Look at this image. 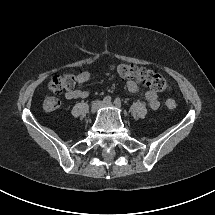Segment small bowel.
Here are the masks:
<instances>
[{
	"mask_svg": "<svg viewBox=\"0 0 215 215\" xmlns=\"http://www.w3.org/2000/svg\"><path fill=\"white\" fill-rule=\"evenodd\" d=\"M90 77H91V75L88 71L80 72L77 76L78 85L81 86V85L85 84L86 82H88L90 80ZM126 86H127L128 91L131 93H136L139 89L137 82L132 79L127 81ZM87 96H88V92L85 90H81V89L69 90L65 93V97L67 99L86 98ZM145 98L151 109L155 110L159 107L158 96L155 91L147 90L145 92Z\"/></svg>",
	"mask_w": 215,
	"mask_h": 215,
	"instance_id": "obj_1",
	"label": "small bowel"
}]
</instances>
